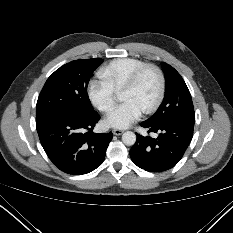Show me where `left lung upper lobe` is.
<instances>
[{
  "label": "left lung upper lobe",
  "mask_w": 233,
  "mask_h": 233,
  "mask_svg": "<svg viewBox=\"0 0 233 233\" xmlns=\"http://www.w3.org/2000/svg\"><path fill=\"white\" fill-rule=\"evenodd\" d=\"M162 68L166 80L165 98L147 121L157 125L172 121L195 122L192 98L183 78L167 63L162 62Z\"/></svg>",
  "instance_id": "5c2ea615"
}]
</instances>
